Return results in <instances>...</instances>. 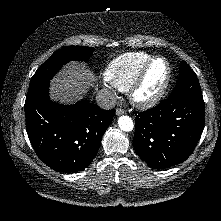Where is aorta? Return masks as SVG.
<instances>
[{
	"mask_svg": "<svg viewBox=\"0 0 221 221\" xmlns=\"http://www.w3.org/2000/svg\"><path fill=\"white\" fill-rule=\"evenodd\" d=\"M119 128L123 131L129 132L132 131L134 123L129 116L123 115L118 119Z\"/></svg>",
	"mask_w": 221,
	"mask_h": 221,
	"instance_id": "aorta-1",
	"label": "aorta"
}]
</instances>
